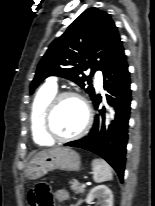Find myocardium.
<instances>
[{"mask_svg":"<svg viewBox=\"0 0 155 206\" xmlns=\"http://www.w3.org/2000/svg\"><path fill=\"white\" fill-rule=\"evenodd\" d=\"M68 97L75 98L81 102V104L84 107V111H85V122H84L82 128L78 132H76L72 135H69V136H59L54 132V130L51 126L52 115H53V112H54L57 104L62 99L68 98ZM92 120H93V114H92V110H91V107H90L88 101L81 94L74 92V91H62V92L56 93L52 97V99L49 101V103L47 104V106L44 110L43 116H42L44 133L51 140L60 141V142H66V141L78 139V138L84 136L89 131L91 124H92Z\"/></svg>","mask_w":155,"mask_h":206,"instance_id":"1","label":"myocardium"}]
</instances>
